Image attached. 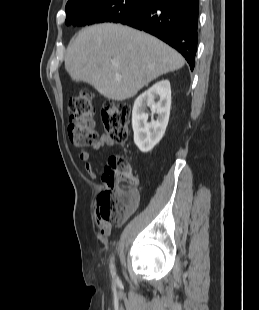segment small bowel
I'll use <instances>...</instances> for the list:
<instances>
[{
	"label": "small bowel",
	"instance_id": "c3829d8e",
	"mask_svg": "<svg viewBox=\"0 0 259 310\" xmlns=\"http://www.w3.org/2000/svg\"><path fill=\"white\" fill-rule=\"evenodd\" d=\"M114 144H115V142L111 138H109L107 135H101L99 143L94 147V149L99 150L102 147H111ZM78 156H79V159L84 162V168H85L87 174L92 179H94L96 177V172H95L92 164L89 162L90 152L86 149H83L79 152ZM97 226L103 235H108L112 230L111 225H105L101 222H98Z\"/></svg>",
	"mask_w": 259,
	"mask_h": 310
}]
</instances>
